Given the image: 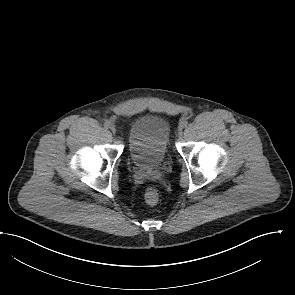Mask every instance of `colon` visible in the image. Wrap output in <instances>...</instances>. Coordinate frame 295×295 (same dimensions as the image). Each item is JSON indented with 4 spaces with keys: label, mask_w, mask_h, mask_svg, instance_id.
<instances>
[{
    "label": "colon",
    "mask_w": 295,
    "mask_h": 295,
    "mask_svg": "<svg viewBox=\"0 0 295 295\" xmlns=\"http://www.w3.org/2000/svg\"><path fill=\"white\" fill-rule=\"evenodd\" d=\"M145 200L150 205H155L159 200L158 191L154 188H148L145 192Z\"/></svg>",
    "instance_id": "5ec220e1"
}]
</instances>
